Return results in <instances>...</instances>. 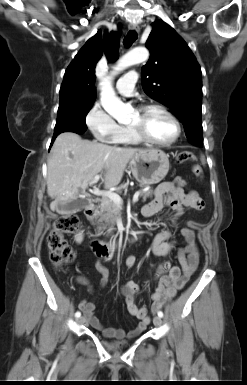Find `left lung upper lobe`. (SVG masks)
<instances>
[{"instance_id":"obj_1","label":"left lung upper lobe","mask_w":247,"mask_h":385,"mask_svg":"<svg viewBox=\"0 0 247 385\" xmlns=\"http://www.w3.org/2000/svg\"><path fill=\"white\" fill-rule=\"evenodd\" d=\"M146 47L151 55L142 67L143 90L171 109L187 137L202 135V76L192 51L162 20L153 23Z\"/></svg>"}]
</instances>
